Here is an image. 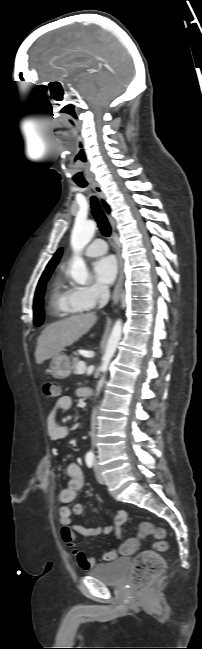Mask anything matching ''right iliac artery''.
Listing matches in <instances>:
<instances>
[{
    "instance_id": "1",
    "label": "right iliac artery",
    "mask_w": 202,
    "mask_h": 649,
    "mask_svg": "<svg viewBox=\"0 0 202 649\" xmlns=\"http://www.w3.org/2000/svg\"><path fill=\"white\" fill-rule=\"evenodd\" d=\"M86 464L88 467H92L94 464V456L93 455H87L85 458Z\"/></svg>"
}]
</instances>
